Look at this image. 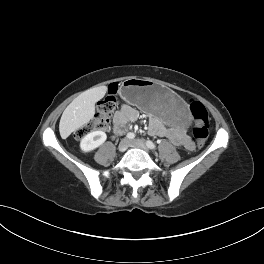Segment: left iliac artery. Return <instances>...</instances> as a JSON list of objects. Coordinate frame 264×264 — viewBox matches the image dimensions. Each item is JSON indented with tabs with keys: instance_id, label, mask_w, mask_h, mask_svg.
I'll list each match as a JSON object with an SVG mask.
<instances>
[{
	"instance_id": "obj_1",
	"label": "left iliac artery",
	"mask_w": 264,
	"mask_h": 264,
	"mask_svg": "<svg viewBox=\"0 0 264 264\" xmlns=\"http://www.w3.org/2000/svg\"><path fill=\"white\" fill-rule=\"evenodd\" d=\"M146 146L150 149H156V145L150 140L146 141Z\"/></svg>"
}]
</instances>
